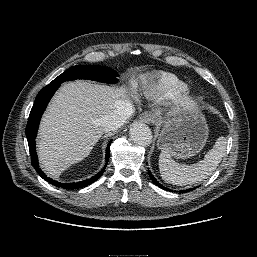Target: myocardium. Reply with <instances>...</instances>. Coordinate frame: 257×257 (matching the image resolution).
Returning a JSON list of instances; mask_svg holds the SVG:
<instances>
[{
	"mask_svg": "<svg viewBox=\"0 0 257 257\" xmlns=\"http://www.w3.org/2000/svg\"><path fill=\"white\" fill-rule=\"evenodd\" d=\"M172 99L174 108L183 113L194 111L199 102L198 96L188 89L176 94Z\"/></svg>",
	"mask_w": 257,
	"mask_h": 257,
	"instance_id": "1",
	"label": "myocardium"
}]
</instances>
